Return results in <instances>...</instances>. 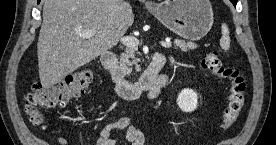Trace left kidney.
<instances>
[{
  "instance_id": "obj_1",
  "label": "left kidney",
  "mask_w": 276,
  "mask_h": 145,
  "mask_svg": "<svg viewBox=\"0 0 276 145\" xmlns=\"http://www.w3.org/2000/svg\"><path fill=\"white\" fill-rule=\"evenodd\" d=\"M177 104L182 111L192 112L197 108L198 95L192 89H184L178 95Z\"/></svg>"
}]
</instances>
